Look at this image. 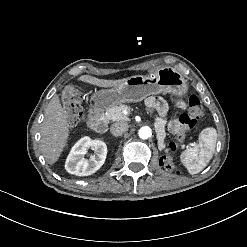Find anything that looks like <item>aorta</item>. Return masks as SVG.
Returning <instances> with one entry per match:
<instances>
[{
  "mask_svg": "<svg viewBox=\"0 0 247 247\" xmlns=\"http://www.w3.org/2000/svg\"><path fill=\"white\" fill-rule=\"evenodd\" d=\"M138 135L140 138L142 139H148L149 137H151L152 135V130L150 127L148 126H143L140 128V130L138 131Z\"/></svg>",
  "mask_w": 247,
  "mask_h": 247,
  "instance_id": "762f6f07",
  "label": "aorta"
}]
</instances>
